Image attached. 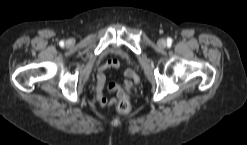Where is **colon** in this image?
Masks as SVG:
<instances>
[{"label":"colon","mask_w":247,"mask_h":145,"mask_svg":"<svg viewBox=\"0 0 247 145\" xmlns=\"http://www.w3.org/2000/svg\"><path fill=\"white\" fill-rule=\"evenodd\" d=\"M131 109L130 102L126 99H122L117 104V110L121 113H128Z\"/></svg>","instance_id":"obj_1"}]
</instances>
